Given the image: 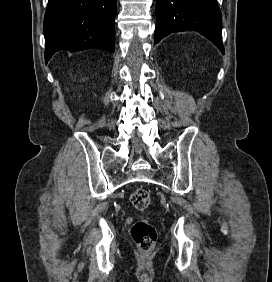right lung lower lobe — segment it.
<instances>
[{
    "instance_id": "1",
    "label": "right lung lower lobe",
    "mask_w": 272,
    "mask_h": 282,
    "mask_svg": "<svg viewBox=\"0 0 272 282\" xmlns=\"http://www.w3.org/2000/svg\"><path fill=\"white\" fill-rule=\"evenodd\" d=\"M116 0H49L44 18L45 61L60 50L114 52Z\"/></svg>"
}]
</instances>
